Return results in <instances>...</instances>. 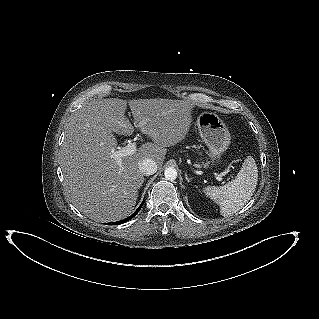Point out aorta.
<instances>
[{
    "mask_svg": "<svg viewBox=\"0 0 319 319\" xmlns=\"http://www.w3.org/2000/svg\"><path fill=\"white\" fill-rule=\"evenodd\" d=\"M166 180L174 181L177 178V170L174 167H168L164 171Z\"/></svg>",
    "mask_w": 319,
    "mask_h": 319,
    "instance_id": "1",
    "label": "aorta"
}]
</instances>
